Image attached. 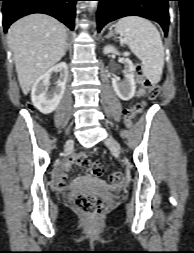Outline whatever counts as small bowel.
<instances>
[{
    "instance_id": "1",
    "label": "small bowel",
    "mask_w": 194,
    "mask_h": 253,
    "mask_svg": "<svg viewBox=\"0 0 194 253\" xmlns=\"http://www.w3.org/2000/svg\"><path fill=\"white\" fill-rule=\"evenodd\" d=\"M146 94V89L144 87H140L136 94L134 95L135 98L142 97ZM71 164L69 161L65 162L62 166V169L54 174V181L58 189H64L65 184V172L69 170Z\"/></svg>"
}]
</instances>
